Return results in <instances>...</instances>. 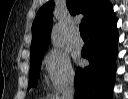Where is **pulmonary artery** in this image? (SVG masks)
I'll return each mask as SVG.
<instances>
[{
    "instance_id": "pulmonary-artery-1",
    "label": "pulmonary artery",
    "mask_w": 128,
    "mask_h": 99,
    "mask_svg": "<svg viewBox=\"0 0 128 99\" xmlns=\"http://www.w3.org/2000/svg\"><path fill=\"white\" fill-rule=\"evenodd\" d=\"M73 43H74V45H76L78 47L83 45V40H82V38H81L79 33L75 34V36L73 38Z\"/></svg>"
}]
</instances>
